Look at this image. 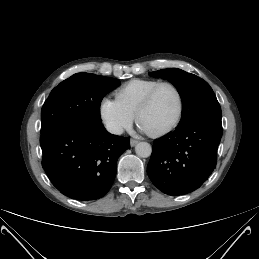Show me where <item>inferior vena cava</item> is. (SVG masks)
I'll use <instances>...</instances> for the list:
<instances>
[{
    "instance_id": "602c4592",
    "label": "inferior vena cava",
    "mask_w": 259,
    "mask_h": 259,
    "mask_svg": "<svg viewBox=\"0 0 259 259\" xmlns=\"http://www.w3.org/2000/svg\"><path fill=\"white\" fill-rule=\"evenodd\" d=\"M106 129L110 133L117 134V135H120V134H122L124 132L123 128L120 125L116 124V123H108L106 125Z\"/></svg>"
}]
</instances>
